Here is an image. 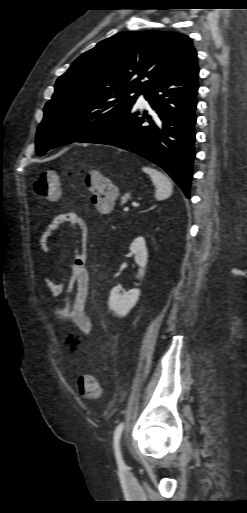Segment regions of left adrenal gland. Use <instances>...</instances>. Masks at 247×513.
<instances>
[{
	"instance_id": "1",
	"label": "left adrenal gland",
	"mask_w": 247,
	"mask_h": 513,
	"mask_svg": "<svg viewBox=\"0 0 247 513\" xmlns=\"http://www.w3.org/2000/svg\"><path fill=\"white\" fill-rule=\"evenodd\" d=\"M154 207H155V206H152V207L150 208V210H151V209H153Z\"/></svg>"
}]
</instances>
